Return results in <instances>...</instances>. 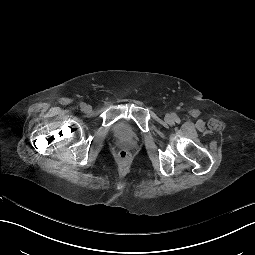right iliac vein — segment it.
<instances>
[{
    "label": "right iliac vein",
    "instance_id": "obj_1",
    "mask_svg": "<svg viewBox=\"0 0 255 255\" xmlns=\"http://www.w3.org/2000/svg\"><path fill=\"white\" fill-rule=\"evenodd\" d=\"M83 110H84L85 113H90L92 111V108H91V106L86 105Z\"/></svg>",
    "mask_w": 255,
    "mask_h": 255
}]
</instances>
